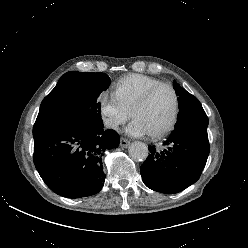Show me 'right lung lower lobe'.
I'll return each mask as SVG.
<instances>
[{"instance_id": "1", "label": "right lung lower lobe", "mask_w": 248, "mask_h": 248, "mask_svg": "<svg viewBox=\"0 0 248 248\" xmlns=\"http://www.w3.org/2000/svg\"><path fill=\"white\" fill-rule=\"evenodd\" d=\"M34 164L56 194L81 198L98 193L104 184L102 155L117 148L119 136L103 123H35Z\"/></svg>"}]
</instances>
